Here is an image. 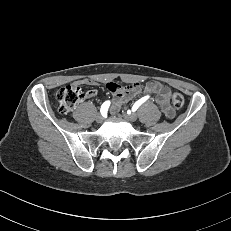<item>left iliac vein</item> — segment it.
Returning a JSON list of instances; mask_svg holds the SVG:
<instances>
[{"instance_id":"left-iliac-vein-1","label":"left iliac vein","mask_w":231,"mask_h":231,"mask_svg":"<svg viewBox=\"0 0 231 231\" xmlns=\"http://www.w3.org/2000/svg\"><path fill=\"white\" fill-rule=\"evenodd\" d=\"M123 117L124 119L130 122H134L137 120V115L135 113H131V114L123 113Z\"/></svg>"}]
</instances>
